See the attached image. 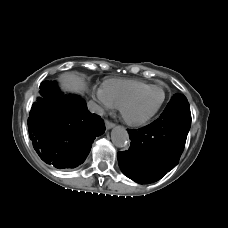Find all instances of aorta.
<instances>
[{
  "label": "aorta",
  "instance_id": "1",
  "mask_svg": "<svg viewBox=\"0 0 228 228\" xmlns=\"http://www.w3.org/2000/svg\"><path fill=\"white\" fill-rule=\"evenodd\" d=\"M111 140L116 147L124 148L129 144V134L125 128L116 126L111 132Z\"/></svg>",
  "mask_w": 228,
  "mask_h": 228
}]
</instances>
